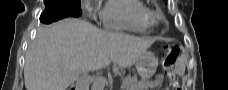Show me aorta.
<instances>
[{"label":"aorta","mask_w":228,"mask_h":90,"mask_svg":"<svg viewBox=\"0 0 228 90\" xmlns=\"http://www.w3.org/2000/svg\"><path fill=\"white\" fill-rule=\"evenodd\" d=\"M105 87V79L100 77L96 79L92 85V90H104Z\"/></svg>","instance_id":"aorta-1"}]
</instances>
